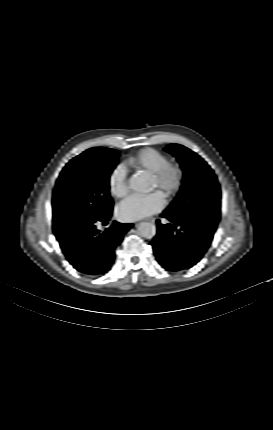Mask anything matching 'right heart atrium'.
Masks as SVG:
<instances>
[{"instance_id": "d8ad5b80", "label": "right heart atrium", "mask_w": 273, "mask_h": 430, "mask_svg": "<svg viewBox=\"0 0 273 430\" xmlns=\"http://www.w3.org/2000/svg\"><path fill=\"white\" fill-rule=\"evenodd\" d=\"M108 184L111 194L115 198H123L129 192L127 172L123 165L115 166L109 174Z\"/></svg>"}]
</instances>
